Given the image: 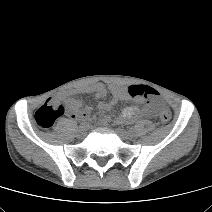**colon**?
Masks as SVG:
<instances>
[{
    "label": "colon",
    "instance_id": "5ec220e1",
    "mask_svg": "<svg viewBox=\"0 0 212 212\" xmlns=\"http://www.w3.org/2000/svg\"><path fill=\"white\" fill-rule=\"evenodd\" d=\"M128 93L131 97H141L147 100L151 106L160 107L161 97L160 94L153 88L143 85H134L128 88ZM65 111V105L55 99H48L42 106L35 112L36 124L43 128L48 129L54 125L56 120L60 118ZM171 112L168 109H162L160 118L163 122L167 123L171 120Z\"/></svg>",
    "mask_w": 212,
    "mask_h": 212
}]
</instances>
